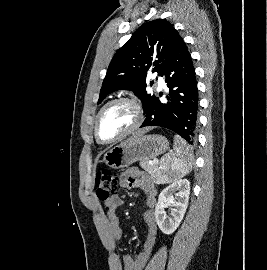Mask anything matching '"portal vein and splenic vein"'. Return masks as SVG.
<instances>
[{
    "label": "portal vein and splenic vein",
    "instance_id": "1",
    "mask_svg": "<svg viewBox=\"0 0 267 270\" xmlns=\"http://www.w3.org/2000/svg\"><path fill=\"white\" fill-rule=\"evenodd\" d=\"M152 163H158V160H153Z\"/></svg>",
    "mask_w": 267,
    "mask_h": 270
}]
</instances>
